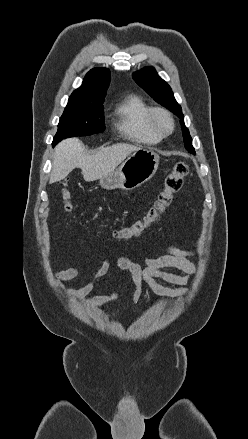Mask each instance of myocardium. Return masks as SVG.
<instances>
[{"instance_id":"myocardium-1","label":"myocardium","mask_w":248,"mask_h":439,"mask_svg":"<svg viewBox=\"0 0 248 439\" xmlns=\"http://www.w3.org/2000/svg\"><path fill=\"white\" fill-rule=\"evenodd\" d=\"M151 125L153 129L162 137L170 135L175 128V121L170 113L165 108H154L151 112ZM166 121V127L162 126V121Z\"/></svg>"}]
</instances>
